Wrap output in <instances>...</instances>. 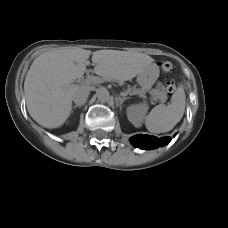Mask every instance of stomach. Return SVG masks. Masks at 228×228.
Wrapping results in <instances>:
<instances>
[{"instance_id":"1","label":"stomach","mask_w":228,"mask_h":228,"mask_svg":"<svg viewBox=\"0 0 228 228\" xmlns=\"http://www.w3.org/2000/svg\"><path fill=\"white\" fill-rule=\"evenodd\" d=\"M159 76V68L151 64L138 74L137 81L143 90H149Z\"/></svg>"}]
</instances>
